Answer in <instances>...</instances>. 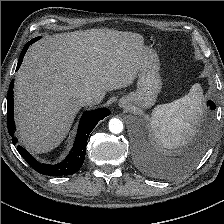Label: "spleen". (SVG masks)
Instances as JSON below:
<instances>
[{
  "label": "spleen",
  "instance_id": "spleen-1",
  "mask_svg": "<svg viewBox=\"0 0 224 224\" xmlns=\"http://www.w3.org/2000/svg\"><path fill=\"white\" fill-rule=\"evenodd\" d=\"M202 97L201 85L196 83L184 97L153 110L151 126L158 144L173 148L196 134L204 111Z\"/></svg>",
  "mask_w": 224,
  "mask_h": 224
}]
</instances>
